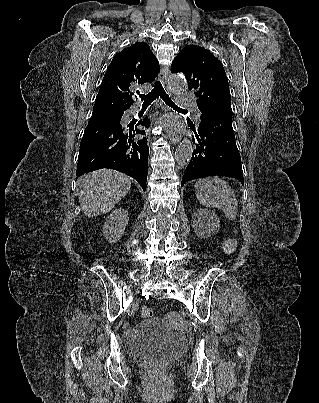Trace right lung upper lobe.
I'll use <instances>...</instances> for the list:
<instances>
[{
    "mask_svg": "<svg viewBox=\"0 0 319 403\" xmlns=\"http://www.w3.org/2000/svg\"><path fill=\"white\" fill-rule=\"evenodd\" d=\"M159 70L148 44L138 42L123 49L114 56L104 75L94 108L125 111L134 103L132 89L152 82Z\"/></svg>",
    "mask_w": 319,
    "mask_h": 403,
    "instance_id": "obj_1",
    "label": "right lung upper lobe"
}]
</instances>
